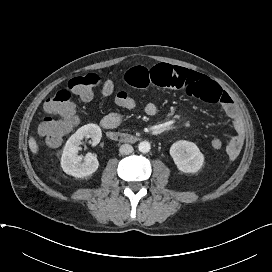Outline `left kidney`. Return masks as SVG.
Instances as JSON below:
<instances>
[{
    "mask_svg": "<svg viewBox=\"0 0 272 272\" xmlns=\"http://www.w3.org/2000/svg\"><path fill=\"white\" fill-rule=\"evenodd\" d=\"M170 155L177 168L184 173H195L204 163V156L197 145L186 140H179L172 144Z\"/></svg>",
    "mask_w": 272,
    "mask_h": 272,
    "instance_id": "1",
    "label": "left kidney"
}]
</instances>
